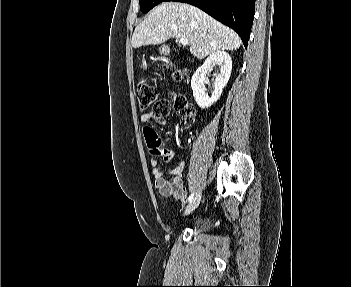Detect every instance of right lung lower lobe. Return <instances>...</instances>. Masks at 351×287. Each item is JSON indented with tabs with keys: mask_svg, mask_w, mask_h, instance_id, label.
I'll return each instance as SVG.
<instances>
[{
	"mask_svg": "<svg viewBox=\"0 0 351 287\" xmlns=\"http://www.w3.org/2000/svg\"><path fill=\"white\" fill-rule=\"evenodd\" d=\"M188 3L196 6L234 29L241 37L245 47L255 13V0H165Z\"/></svg>",
	"mask_w": 351,
	"mask_h": 287,
	"instance_id": "right-lung-lower-lobe-1",
	"label": "right lung lower lobe"
}]
</instances>
